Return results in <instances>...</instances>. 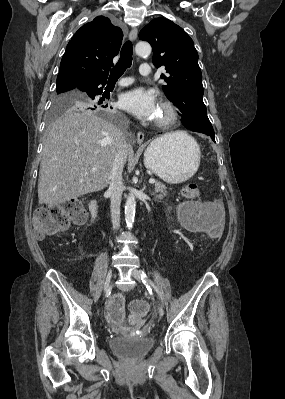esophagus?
<instances>
[{
	"label": "esophagus",
	"instance_id": "1",
	"mask_svg": "<svg viewBox=\"0 0 285 399\" xmlns=\"http://www.w3.org/2000/svg\"><path fill=\"white\" fill-rule=\"evenodd\" d=\"M136 37H137V29H136V28H133V29L130 31L129 38H130V40L134 41V40L136 39ZM143 141H144V133L141 132V131H139V132L137 133V143H138L139 145H142V144H143Z\"/></svg>",
	"mask_w": 285,
	"mask_h": 399
}]
</instances>
